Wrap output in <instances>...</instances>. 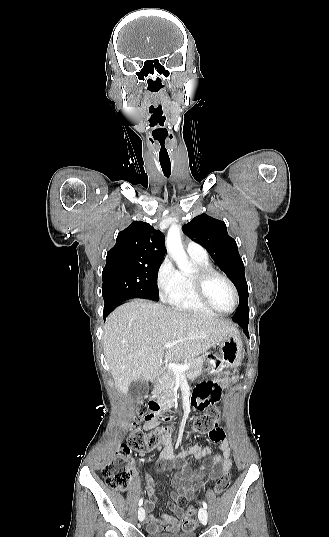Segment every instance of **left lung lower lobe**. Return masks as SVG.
I'll return each mask as SVG.
<instances>
[{"mask_svg":"<svg viewBox=\"0 0 329 537\" xmlns=\"http://www.w3.org/2000/svg\"><path fill=\"white\" fill-rule=\"evenodd\" d=\"M248 322H249V318L244 319L239 323L240 326L243 328V330L246 332V334H248Z\"/></svg>","mask_w":329,"mask_h":537,"instance_id":"left-lung-lower-lobe-1","label":"left lung lower lobe"}]
</instances>
